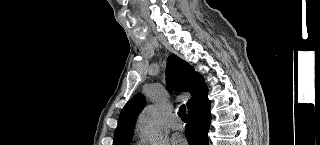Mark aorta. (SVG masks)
Masks as SVG:
<instances>
[{
    "instance_id": "762f6f07",
    "label": "aorta",
    "mask_w": 320,
    "mask_h": 145,
    "mask_svg": "<svg viewBox=\"0 0 320 145\" xmlns=\"http://www.w3.org/2000/svg\"><path fill=\"white\" fill-rule=\"evenodd\" d=\"M138 128L150 141L155 142L161 137L160 111L156 105H150L144 109L139 117Z\"/></svg>"
}]
</instances>
